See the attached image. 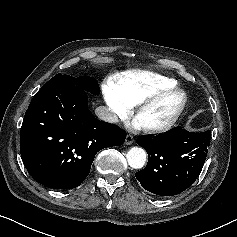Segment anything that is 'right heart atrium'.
<instances>
[{"label": "right heart atrium", "mask_w": 237, "mask_h": 237, "mask_svg": "<svg viewBox=\"0 0 237 237\" xmlns=\"http://www.w3.org/2000/svg\"><path fill=\"white\" fill-rule=\"evenodd\" d=\"M102 93L112 121L125 118L131 113L133 106L121 95L113 79H109L104 83Z\"/></svg>", "instance_id": "d8ad5b80"}]
</instances>
